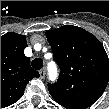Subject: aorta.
Listing matches in <instances>:
<instances>
[{
  "label": "aorta",
  "mask_w": 109,
  "mask_h": 109,
  "mask_svg": "<svg viewBox=\"0 0 109 109\" xmlns=\"http://www.w3.org/2000/svg\"><path fill=\"white\" fill-rule=\"evenodd\" d=\"M47 68H48L49 80L52 82L56 81L58 77L57 65L54 62H49Z\"/></svg>",
  "instance_id": "obj_1"
}]
</instances>
